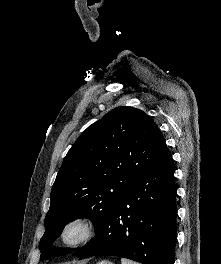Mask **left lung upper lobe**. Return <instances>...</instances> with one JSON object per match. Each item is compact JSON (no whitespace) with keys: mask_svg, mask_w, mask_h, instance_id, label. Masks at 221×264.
I'll use <instances>...</instances> for the list:
<instances>
[{"mask_svg":"<svg viewBox=\"0 0 221 264\" xmlns=\"http://www.w3.org/2000/svg\"><path fill=\"white\" fill-rule=\"evenodd\" d=\"M166 147L152 118L133 107H117L89 126L68 151L53 184L39 245L42 259L74 251L52 245L64 226L86 217L98 228Z\"/></svg>","mask_w":221,"mask_h":264,"instance_id":"5c2ea615","label":"left lung upper lobe"}]
</instances>
